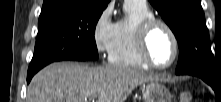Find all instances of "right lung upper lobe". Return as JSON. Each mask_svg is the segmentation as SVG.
Wrapping results in <instances>:
<instances>
[{
  "label": "right lung upper lobe",
  "instance_id": "right-lung-upper-lobe-1",
  "mask_svg": "<svg viewBox=\"0 0 221 102\" xmlns=\"http://www.w3.org/2000/svg\"><path fill=\"white\" fill-rule=\"evenodd\" d=\"M84 1L92 7H105L110 0H44L42 10Z\"/></svg>",
  "mask_w": 221,
  "mask_h": 102
}]
</instances>
